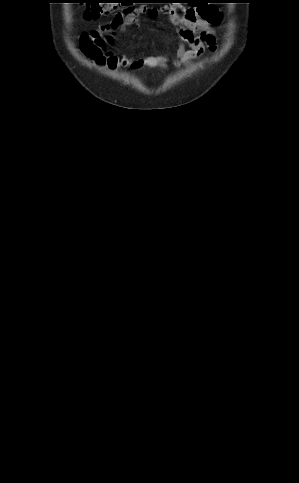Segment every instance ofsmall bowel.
I'll list each match as a JSON object with an SVG mask.
<instances>
[{"instance_id": "small-bowel-1", "label": "small bowel", "mask_w": 299, "mask_h": 483, "mask_svg": "<svg viewBox=\"0 0 299 483\" xmlns=\"http://www.w3.org/2000/svg\"><path fill=\"white\" fill-rule=\"evenodd\" d=\"M209 18L200 16L198 8L186 6H165L157 8L149 5L139 7L128 6L117 13L104 27L95 29L90 33L82 34L80 47L83 54L96 65L112 70L120 68L152 67L167 68L192 64L201 58L206 50H216V36L211 24L220 22L222 15L212 5L204 6ZM161 13H166L171 23L176 27L181 39L175 55L169 58L165 55H151L144 57H127L110 50L114 38L112 32H123L127 27L135 24L140 16L155 20Z\"/></svg>"}]
</instances>
